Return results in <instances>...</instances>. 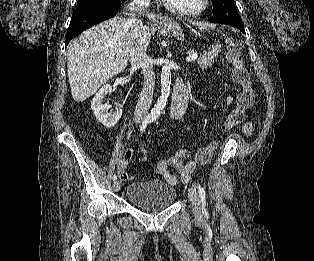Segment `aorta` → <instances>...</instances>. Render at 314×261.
<instances>
[{"mask_svg": "<svg viewBox=\"0 0 314 261\" xmlns=\"http://www.w3.org/2000/svg\"><path fill=\"white\" fill-rule=\"evenodd\" d=\"M171 69L169 65H164L161 71V95L156 105L151 110V117L158 118L162 113L170 93Z\"/></svg>", "mask_w": 314, "mask_h": 261, "instance_id": "obj_1", "label": "aorta"}]
</instances>
